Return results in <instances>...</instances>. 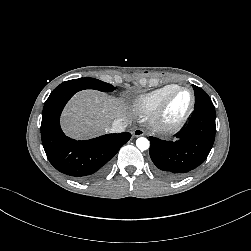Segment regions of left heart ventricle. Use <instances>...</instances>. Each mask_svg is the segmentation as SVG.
<instances>
[{"instance_id":"obj_1","label":"left heart ventricle","mask_w":251,"mask_h":251,"mask_svg":"<svg viewBox=\"0 0 251 251\" xmlns=\"http://www.w3.org/2000/svg\"><path fill=\"white\" fill-rule=\"evenodd\" d=\"M190 102V95L185 92L175 94L168 106L166 116L169 120L177 119L187 108Z\"/></svg>"}]
</instances>
